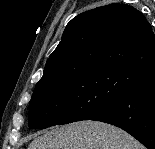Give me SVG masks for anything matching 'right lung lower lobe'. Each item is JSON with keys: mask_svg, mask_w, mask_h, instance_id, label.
I'll return each mask as SVG.
<instances>
[{"mask_svg": "<svg viewBox=\"0 0 155 149\" xmlns=\"http://www.w3.org/2000/svg\"><path fill=\"white\" fill-rule=\"evenodd\" d=\"M90 120L122 128L155 149V75L147 76Z\"/></svg>", "mask_w": 155, "mask_h": 149, "instance_id": "1", "label": "right lung lower lobe"}]
</instances>
